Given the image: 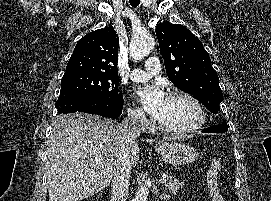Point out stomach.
Listing matches in <instances>:
<instances>
[{
    "instance_id": "stomach-1",
    "label": "stomach",
    "mask_w": 271,
    "mask_h": 201,
    "mask_svg": "<svg viewBox=\"0 0 271 201\" xmlns=\"http://www.w3.org/2000/svg\"><path fill=\"white\" fill-rule=\"evenodd\" d=\"M161 158L172 166L193 163L199 156L196 149L182 143H161L155 146Z\"/></svg>"
}]
</instances>
